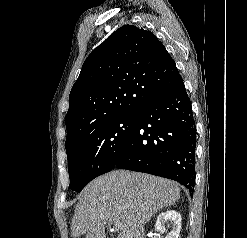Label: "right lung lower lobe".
<instances>
[{"mask_svg": "<svg viewBox=\"0 0 247 238\" xmlns=\"http://www.w3.org/2000/svg\"><path fill=\"white\" fill-rule=\"evenodd\" d=\"M135 128L114 167L195 184L196 132L181 75L165 94L138 111Z\"/></svg>", "mask_w": 247, "mask_h": 238, "instance_id": "98d812e1", "label": "right lung lower lobe"}]
</instances>
